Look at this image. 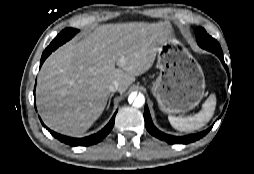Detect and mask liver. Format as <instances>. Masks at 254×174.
<instances>
[{"instance_id": "6515ba94", "label": "liver", "mask_w": 254, "mask_h": 174, "mask_svg": "<svg viewBox=\"0 0 254 174\" xmlns=\"http://www.w3.org/2000/svg\"><path fill=\"white\" fill-rule=\"evenodd\" d=\"M169 34L165 22L106 24L58 48L43 63L37 81L36 103L44 123L55 132L81 136L103 113L112 81L125 92L151 68Z\"/></svg>"}]
</instances>
